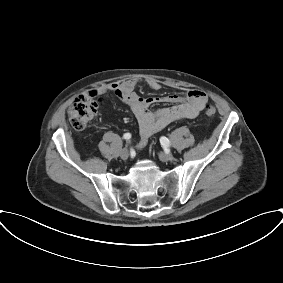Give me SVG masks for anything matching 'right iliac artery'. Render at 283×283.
Listing matches in <instances>:
<instances>
[{
    "label": "right iliac artery",
    "mask_w": 283,
    "mask_h": 283,
    "mask_svg": "<svg viewBox=\"0 0 283 283\" xmlns=\"http://www.w3.org/2000/svg\"><path fill=\"white\" fill-rule=\"evenodd\" d=\"M124 138L125 139H130L131 138V134L130 133H125L124 134Z\"/></svg>",
    "instance_id": "obj_1"
}]
</instances>
